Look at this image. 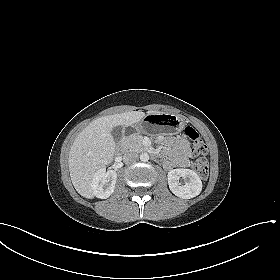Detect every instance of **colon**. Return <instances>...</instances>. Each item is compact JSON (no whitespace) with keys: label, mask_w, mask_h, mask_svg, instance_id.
Instances as JSON below:
<instances>
[{"label":"colon","mask_w":280,"mask_h":280,"mask_svg":"<svg viewBox=\"0 0 280 280\" xmlns=\"http://www.w3.org/2000/svg\"><path fill=\"white\" fill-rule=\"evenodd\" d=\"M184 136L190 140L192 145V151L196 155V159L193 162V169L197 174L205 179L209 174L208 160L204 157L207 153V146L200 136V134L193 127H186L184 130Z\"/></svg>","instance_id":"5ec220e1"}]
</instances>
